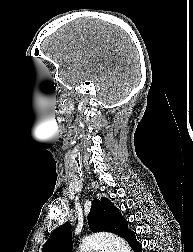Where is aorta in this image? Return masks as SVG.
<instances>
[{
	"label": "aorta",
	"mask_w": 193,
	"mask_h": 252,
	"mask_svg": "<svg viewBox=\"0 0 193 252\" xmlns=\"http://www.w3.org/2000/svg\"><path fill=\"white\" fill-rule=\"evenodd\" d=\"M131 252L129 245L120 237L111 234H94L86 237L80 245V252Z\"/></svg>",
	"instance_id": "762f6f07"
}]
</instances>
